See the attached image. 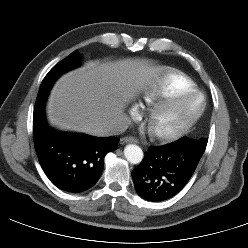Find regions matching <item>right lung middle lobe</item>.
Listing matches in <instances>:
<instances>
[{"mask_svg":"<svg viewBox=\"0 0 248 248\" xmlns=\"http://www.w3.org/2000/svg\"><path fill=\"white\" fill-rule=\"evenodd\" d=\"M77 66H79L78 50L71 53L68 57H66L64 60L59 62L49 71V73L45 76V78L41 83L40 90L50 89L60 75Z\"/></svg>","mask_w":248,"mask_h":248,"instance_id":"obj_1","label":"right lung middle lobe"}]
</instances>
